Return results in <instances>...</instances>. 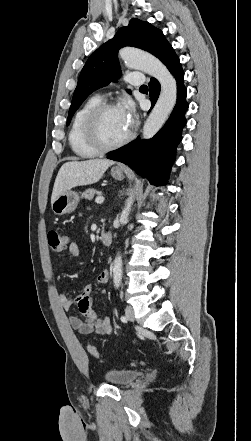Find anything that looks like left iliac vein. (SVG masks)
Wrapping results in <instances>:
<instances>
[{
	"label": "left iliac vein",
	"mask_w": 251,
	"mask_h": 441,
	"mask_svg": "<svg viewBox=\"0 0 251 441\" xmlns=\"http://www.w3.org/2000/svg\"><path fill=\"white\" fill-rule=\"evenodd\" d=\"M125 314L128 320L134 322L135 321V316H134V310L131 307H127L125 310Z\"/></svg>",
	"instance_id": "4c4485c4"
}]
</instances>
